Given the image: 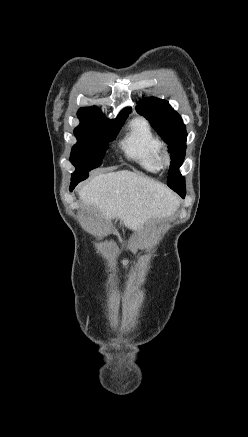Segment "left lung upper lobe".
I'll use <instances>...</instances> for the list:
<instances>
[{"mask_svg":"<svg viewBox=\"0 0 248 437\" xmlns=\"http://www.w3.org/2000/svg\"><path fill=\"white\" fill-rule=\"evenodd\" d=\"M136 111L150 121L158 134L168 144L171 164L167 184L181 197H185V178L179 172L185 156L187 139L182 118L167 101L157 98L139 101Z\"/></svg>","mask_w":248,"mask_h":437,"instance_id":"left-lung-upper-lobe-1","label":"left lung upper lobe"}]
</instances>
